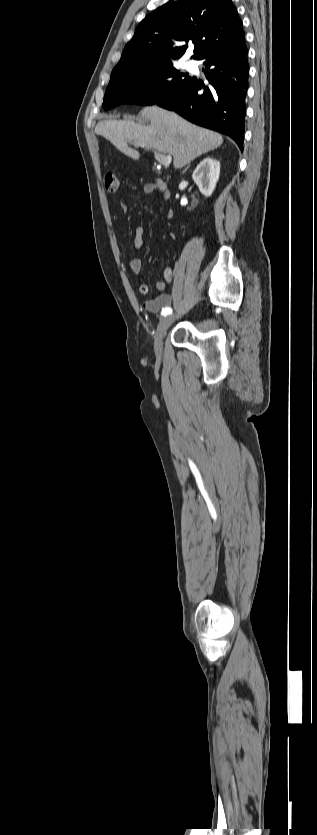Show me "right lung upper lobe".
<instances>
[{
    "label": "right lung upper lobe",
    "mask_w": 317,
    "mask_h": 835,
    "mask_svg": "<svg viewBox=\"0 0 317 835\" xmlns=\"http://www.w3.org/2000/svg\"><path fill=\"white\" fill-rule=\"evenodd\" d=\"M195 43L192 58L245 38L242 21L231 0H178L159 7L138 25L124 48L116 71H142L169 64L187 45L173 47L171 39Z\"/></svg>",
    "instance_id": "cb5924a9"
}]
</instances>
